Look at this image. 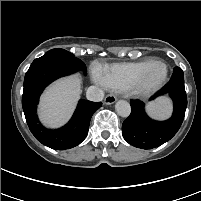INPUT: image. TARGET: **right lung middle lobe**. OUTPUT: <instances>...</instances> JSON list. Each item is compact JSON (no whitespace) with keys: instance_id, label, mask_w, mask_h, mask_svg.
Here are the masks:
<instances>
[{"instance_id":"dd1d6c3e","label":"right lung middle lobe","mask_w":201,"mask_h":201,"mask_svg":"<svg viewBox=\"0 0 201 201\" xmlns=\"http://www.w3.org/2000/svg\"><path fill=\"white\" fill-rule=\"evenodd\" d=\"M47 53H59V54H62L66 57H68L69 59H71L75 64L78 65V69L79 70H82L84 72V74L86 75L87 73V70H86V66L85 64L78 58H76L72 53L64 50V49H52L50 51H48Z\"/></svg>"}]
</instances>
